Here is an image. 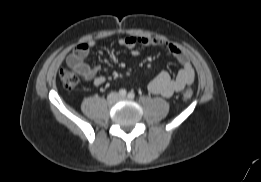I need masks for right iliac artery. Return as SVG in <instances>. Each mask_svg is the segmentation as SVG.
I'll list each match as a JSON object with an SVG mask.
<instances>
[{
    "label": "right iliac artery",
    "instance_id": "82829eb1",
    "mask_svg": "<svg viewBox=\"0 0 261 182\" xmlns=\"http://www.w3.org/2000/svg\"><path fill=\"white\" fill-rule=\"evenodd\" d=\"M127 94L126 90L125 89H120L119 90V95L122 96V97H125Z\"/></svg>",
    "mask_w": 261,
    "mask_h": 182
}]
</instances>
